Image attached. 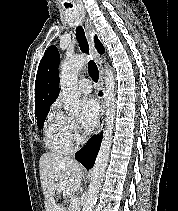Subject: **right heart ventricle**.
<instances>
[{
    "label": "right heart ventricle",
    "mask_w": 178,
    "mask_h": 211,
    "mask_svg": "<svg viewBox=\"0 0 178 211\" xmlns=\"http://www.w3.org/2000/svg\"><path fill=\"white\" fill-rule=\"evenodd\" d=\"M46 146L55 152L65 153L71 149V144L63 133L61 115L51 114L44 130Z\"/></svg>",
    "instance_id": "1"
}]
</instances>
